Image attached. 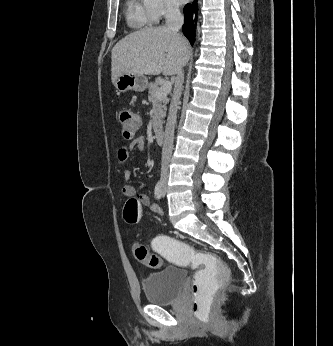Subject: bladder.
<instances>
[{"instance_id": "31cf9c89", "label": "bladder", "mask_w": 333, "mask_h": 346, "mask_svg": "<svg viewBox=\"0 0 333 346\" xmlns=\"http://www.w3.org/2000/svg\"><path fill=\"white\" fill-rule=\"evenodd\" d=\"M185 279L184 269L174 266L147 275L142 282L147 301L152 305L174 302L182 291Z\"/></svg>"}]
</instances>
